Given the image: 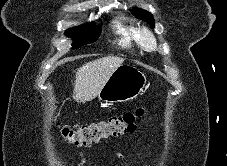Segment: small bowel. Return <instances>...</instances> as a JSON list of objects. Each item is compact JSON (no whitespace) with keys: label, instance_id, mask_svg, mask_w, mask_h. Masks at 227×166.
Returning <instances> with one entry per match:
<instances>
[{"label":"small bowel","instance_id":"1","mask_svg":"<svg viewBox=\"0 0 227 166\" xmlns=\"http://www.w3.org/2000/svg\"><path fill=\"white\" fill-rule=\"evenodd\" d=\"M85 163H86V160H85L84 156L81 155V163H80V166H84Z\"/></svg>","mask_w":227,"mask_h":166}]
</instances>
